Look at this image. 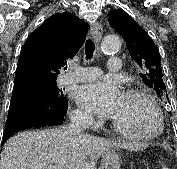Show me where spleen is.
Instances as JSON below:
<instances>
[{
  "instance_id": "spleen-1",
  "label": "spleen",
  "mask_w": 177,
  "mask_h": 169,
  "mask_svg": "<svg viewBox=\"0 0 177 169\" xmlns=\"http://www.w3.org/2000/svg\"><path fill=\"white\" fill-rule=\"evenodd\" d=\"M162 169H168L166 166H163V168Z\"/></svg>"
}]
</instances>
